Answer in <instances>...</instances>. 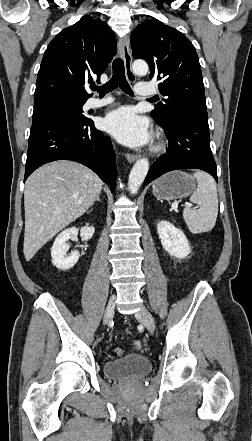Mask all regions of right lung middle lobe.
I'll return each instance as SVG.
<instances>
[{"label":"right lung middle lobe","mask_w":252,"mask_h":441,"mask_svg":"<svg viewBox=\"0 0 252 441\" xmlns=\"http://www.w3.org/2000/svg\"><path fill=\"white\" fill-rule=\"evenodd\" d=\"M86 100L49 99L34 103L33 120L40 118H64L72 121H83L87 118L82 114V106Z\"/></svg>","instance_id":"dd1d6c3e"}]
</instances>
